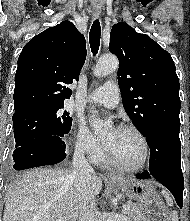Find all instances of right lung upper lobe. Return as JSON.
Masks as SVG:
<instances>
[{
    "label": "right lung upper lobe",
    "mask_w": 190,
    "mask_h": 221,
    "mask_svg": "<svg viewBox=\"0 0 190 221\" xmlns=\"http://www.w3.org/2000/svg\"><path fill=\"white\" fill-rule=\"evenodd\" d=\"M86 58L84 36L70 21L34 36L18 58L15 74V113L36 105L63 104L78 80Z\"/></svg>",
    "instance_id": "cb5924a9"
}]
</instances>
